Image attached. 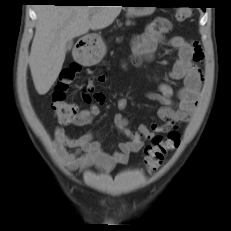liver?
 <instances>
[{"instance_id": "6515ba94", "label": "liver", "mask_w": 231, "mask_h": 231, "mask_svg": "<svg viewBox=\"0 0 231 231\" xmlns=\"http://www.w3.org/2000/svg\"><path fill=\"white\" fill-rule=\"evenodd\" d=\"M121 9L122 6L85 5H40L36 8L38 21L29 65L38 94H46L59 76L65 60L66 43L90 29L108 27Z\"/></svg>"}]
</instances>
